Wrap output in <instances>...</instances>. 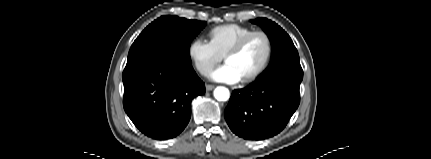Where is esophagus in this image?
<instances>
[{
  "label": "esophagus",
  "instance_id": "34e87169",
  "mask_svg": "<svg viewBox=\"0 0 431 159\" xmlns=\"http://www.w3.org/2000/svg\"><path fill=\"white\" fill-rule=\"evenodd\" d=\"M214 89V85H206V91H211Z\"/></svg>",
  "mask_w": 431,
  "mask_h": 159
}]
</instances>
